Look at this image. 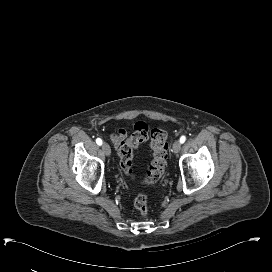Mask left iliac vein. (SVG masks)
I'll list each match as a JSON object with an SVG mask.
<instances>
[{"mask_svg": "<svg viewBox=\"0 0 272 272\" xmlns=\"http://www.w3.org/2000/svg\"><path fill=\"white\" fill-rule=\"evenodd\" d=\"M181 149V142L176 140L173 144V151L174 153H178Z\"/></svg>", "mask_w": 272, "mask_h": 272, "instance_id": "4c4485c4", "label": "left iliac vein"}]
</instances>
